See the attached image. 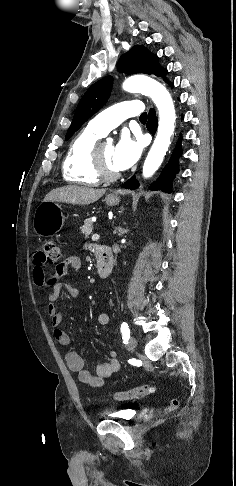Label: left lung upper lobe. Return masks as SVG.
<instances>
[{
    "label": "left lung upper lobe",
    "mask_w": 236,
    "mask_h": 486,
    "mask_svg": "<svg viewBox=\"0 0 236 486\" xmlns=\"http://www.w3.org/2000/svg\"><path fill=\"white\" fill-rule=\"evenodd\" d=\"M118 70L126 74L144 73L154 74L166 81L167 70L158 63V56L146 47L136 45L124 54L118 62ZM113 79L107 76L94 83L80 100L68 129L65 140H68L92 115L107 102Z\"/></svg>",
    "instance_id": "1"
}]
</instances>
